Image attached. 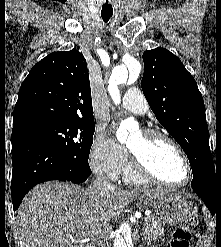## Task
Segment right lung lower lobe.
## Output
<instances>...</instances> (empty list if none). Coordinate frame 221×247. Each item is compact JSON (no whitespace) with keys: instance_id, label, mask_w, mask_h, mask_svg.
I'll return each instance as SVG.
<instances>
[{"instance_id":"1","label":"right lung lower lobe","mask_w":221,"mask_h":247,"mask_svg":"<svg viewBox=\"0 0 221 247\" xmlns=\"http://www.w3.org/2000/svg\"><path fill=\"white\" fill-rule=\"evenodd\" d=\"M11 141L14 210L18 209L26 193L39 183L50 180L83 183L91 175L88 163L68 156L42 139L12 134Z\"/></svg>"}]
</instances>
